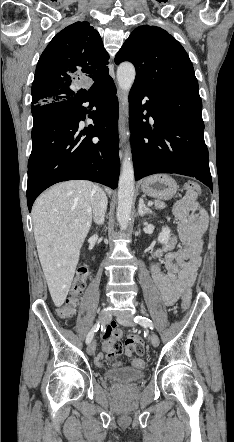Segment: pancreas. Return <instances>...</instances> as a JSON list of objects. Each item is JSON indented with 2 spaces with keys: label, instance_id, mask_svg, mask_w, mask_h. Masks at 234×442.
I'll return each instance as SVG.
<instances>
[{
  "label": "pancreas",
  "instance_id": "cf45deb5",
  "mask_svg": "<svg viewBox=\"0 0 234 442\" xmlns=\"http://www.w3.org/2000/svg\"><path fill=\"white\" fill-rule=\"evenodd\" d=\"M154 203L157 209H163L166 207L165 203L161 200H155Z\"/></svg>",
  "mask_w": 234,
  "mask_h": 442
}]
</instances>
